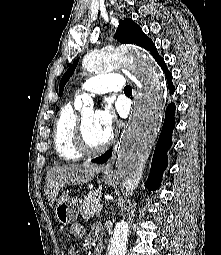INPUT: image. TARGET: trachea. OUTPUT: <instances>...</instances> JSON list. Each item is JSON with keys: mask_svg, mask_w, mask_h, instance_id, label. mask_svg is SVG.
<instances>
[{"mask_svg": "<svg viewBox=\"0 0 221 255\" xmlns=\"http://www.w3.org/2000/svg\"><path fill=\"white\" fill-rule=\"evenodd\" d=\"M124 92H125V93H132L131 87H130L129 85L125 86Z\"/></svg>", "mask_w": 221, "mask_h": 255, "instance_id": "obj_1", "label": "trachea"}]
</instances>
